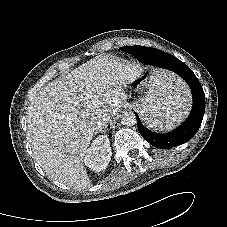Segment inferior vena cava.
Masks as SVG:
<instances>
[{
  "mask_svg": "<svg viewBox=\"0 0 227 227\" xmlns=\"http://www.w3.org/2000/svg\"><path fill=\"white\" fill-rule=\"evenodd\" d=\"M110 119V117L108 118V119H105L104 121H98L97 122V125H98V128H99V130L102 128V126L104 127V126H107L106 125V123H107V121Z\"/></svg>",
  "mask_w": 227,
  "mask_h": 227,
  "instance_id": "1",
  "label": "inferior vena cava"
}]
</instances>
